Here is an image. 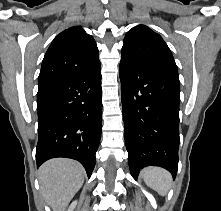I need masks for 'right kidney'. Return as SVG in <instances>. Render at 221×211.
Returning a JSON list of instances; mask_svg holds the SVG:
<instances>
[{
  "instance_id": "1",
  "label": "right kidney",
  "mask_w": 221,
  "mask_h": 211,
  "mask_svg": "<svg viewBox=\"0 0 221 211\" xmlns=\"http://www.w3.org/2000/svg\"><path fill=\"white\" fill-rule=\"evenodd\" d=\"M77 201H74L68 208L67 211H73V209L76 207Z\"/></svg>"
}]
</instances>
